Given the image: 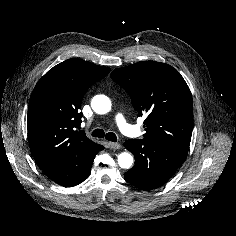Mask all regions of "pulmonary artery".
Returning a JSON list of instances; mask_svg holds the SVG:
<instances>
[{
	"label": "pulmonary artery",
	"mask_w": 236,
	"mask_h": 236,
	"mask_svg": "<svg viewBox=\"0 0 236 236\" xmlns=\"http://www.w3.org/2000/svg\"><path fill=\"white\" fill-rule=\"evenodd\" d=\"M114 120L120 131L125 135H131L136 131V128L127 122L122 113H117Z\"/></svg>",
	"instance_id": "obj_1"
}]
</instances>
